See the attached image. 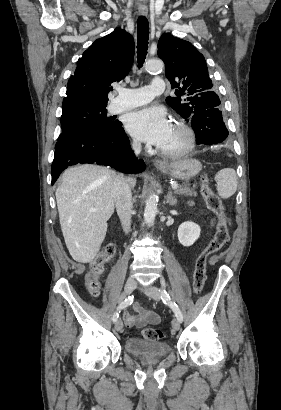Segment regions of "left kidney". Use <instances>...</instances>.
Returning a JSON list of instances; mask_svg holds the SVG:
<instances>
[{
  "label": "left kidney",
  "instance_id": "1",
  "mask_svg": "<svg viewBox=\"0 0 281 410\" xmlns=\"http://www.w3.org/2000/svg\"><path fill=\"white\" fill-rule=\"evenodd\" d=\"M200 232L201 229L196 223L184 222L178 228V240L183 246L189 247L199 238Z\"/></svg>",
  "mask_w": 281,
  "mask_h": 410
}]
</instances>
